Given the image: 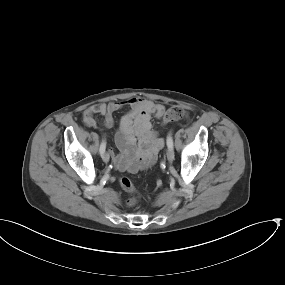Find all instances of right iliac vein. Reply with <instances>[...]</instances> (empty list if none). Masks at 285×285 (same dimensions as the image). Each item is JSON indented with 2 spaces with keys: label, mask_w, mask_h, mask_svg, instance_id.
<instances>
[{
  "label": "right iliac vein",
  "mask_w": 285,
  "mask_h": 285,
  "mask_svg": "<svg viewBox=\"0 0 285 285\" xmlns=\"http://www.w3.org/2000/svg\"><path fill=\"white\" fill-rule=\"evenodd\" d=\"M102 159H103V161H104L105 163H108L109 160H110V155H109V153H108V152H104V153L102 154Z\"/></svg>",
  "instance_id": "obj_1"
}]
</instances>
